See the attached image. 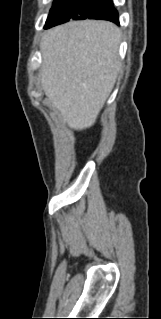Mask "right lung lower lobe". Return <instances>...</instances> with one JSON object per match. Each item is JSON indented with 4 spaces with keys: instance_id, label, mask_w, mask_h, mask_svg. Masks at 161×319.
I'll list each match as a JSON object with an SVG mask.
<instances>
[{
    "instance_id": "right-lung-lower-lobe-1",
    "label": "right lung lower lobe",
    "mask_w": 161,
    "mask_h": 319,
    "mask_svg": "<svg viewBox=\"0 0 161 319\" xmlns=\"http://www.w3.org/2000/svg\"><path fill=\"white\" fill-rule=\"evenodd\" d=\"M86 18L109 20L119 24L118 12L115 9L112 0H101L98 7Z\"/></svg>"
}]
</instances>
